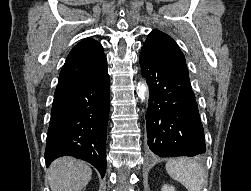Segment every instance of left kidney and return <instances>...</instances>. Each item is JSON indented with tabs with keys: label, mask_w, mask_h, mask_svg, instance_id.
Instances as JSON below:
<instances>
[{
	"label": "left kidney",
	"mask_w": 251,
	"mask_h": 191,
	"mask_svg": "<svg viewBox=\"0 0 251 191\" xmlns=\"http://www.w3.org/2000/svg\"><path fill=\"white\" fill-rule=\"evenodd\" d=\"M162 191H175V187L174 185H167L165 183V185H162Z\"/></svg>",
	"instance_id": "obj_1"
}]
</instances>
